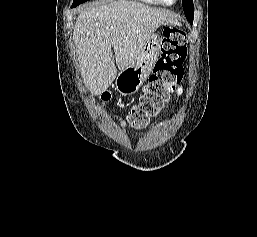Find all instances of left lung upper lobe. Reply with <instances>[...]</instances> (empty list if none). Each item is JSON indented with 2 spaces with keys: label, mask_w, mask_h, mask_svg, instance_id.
<instances>
[{
  "label": "left lung upper lobe",
  "mask_w": 257,
  "mask_h": 237,
  "mask_svg": "<svg viewBox=\"0 0 257 237\" xmlns=\"http://www.w3.org/2000/svg\"><path fill=\"white\" fill-rule=\"evenodd\" d=\"M184 14L190 23L193 22L194 5L193 0H182Z\"/></svg>",
  "instance_id": "left-lung-upper-lobe-1"
}]
</instances>
